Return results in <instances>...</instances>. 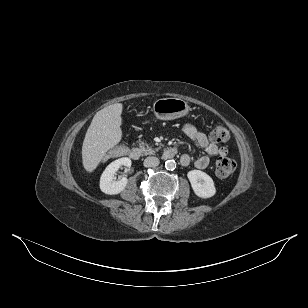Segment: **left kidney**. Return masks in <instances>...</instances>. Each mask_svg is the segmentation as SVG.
Segmentation results:
<instances>
[{
    "label": "left kidney",
    "instance_id": "obj_1",
    "mask_svg": "<svg viewBox=\"0 0 308 308\" xmlns=\"http://www.w3.org/2000/svg\"><path fill=\"white\" fill-rule=\"evenodd\" d=\"M194 193L200 198H210L216 193L212 178L203 171L191 170L187 173Z\"/></svg>",
    "mask_w": 308,
    "mask_h": 308
}]
</instances>
